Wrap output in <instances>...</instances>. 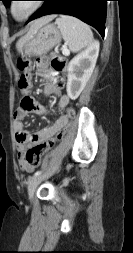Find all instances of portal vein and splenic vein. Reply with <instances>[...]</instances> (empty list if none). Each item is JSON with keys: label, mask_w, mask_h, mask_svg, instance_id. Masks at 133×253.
<instances>
[{"label": "portal vein and splenic vein", "mask_w": 133, "mask_h": 253, "mask_svg": "<svg viewBox=\"0 0 133 253\" xmlns=\"http://www.w3.org/2000/svg\"><path fill=\"white\" fill-rule=\"evenodd\" d=\"M62 53H63V55H69V54H70V52H69V50L67 49V47H63Z\"/></svg>", "instance_id": "18ae733b"}]
</instances>
